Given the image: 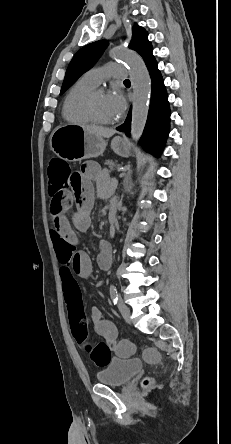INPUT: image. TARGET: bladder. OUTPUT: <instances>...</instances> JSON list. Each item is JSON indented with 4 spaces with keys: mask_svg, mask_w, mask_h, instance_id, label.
Returning a JSON list of instances; mask_svg holds the SVG:
<instances>
[{
    "mask_svg": "<svg viewBox=\"0 0 231 444\" xmlns=\"http://www.w3.org/2000/svg\"><path fill=\"white\" fill-rule=\"evenodd\" d=\"M142 362L136 359L113 357L100 370L96 378L102 385L119 387L126 384L135 374L141 371Z\"/></svg>",
    "mask_w": 231,
    "mask_h": 444,
    "instance_id": "obj_1",
    "label": "bladder"
}]
</instances>
